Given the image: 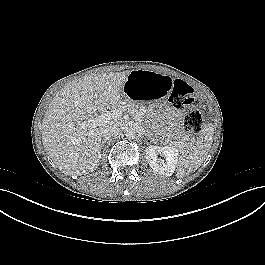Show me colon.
Returning <instances> with one entry per match:
<instances>
[{"label":"colon","instance_id":"colon-1","mask_svg":"<svg viewBox=\"0 0 265 265\" xmlns=\"http://www.w3.org/2000/svg\"><path fill=\"white\" fill-rule=\"evenodd\" d=\"M169 99L177 108L196 106L198 104V99L194 94L193 88L182 80L173 81ZM182 127L188 134H198L203 127V116L201 112L194 110L188 113L184 117Z\"/></svg>","mask_w":265,"mask_h":265}]
</instances>
